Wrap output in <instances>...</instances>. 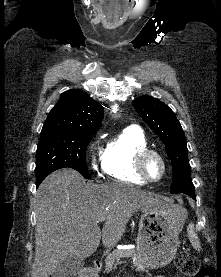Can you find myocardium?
Listing matches in <instances>:
<instances>
[{
    "instance_id": "1",
    "label": "myocardium",
    "mask_w": 221,
    "mask_h": 277,
    "mask_svg": "<svg viewBox=\"0 0 221 277\" xmlns=\"http://www.w3.org/2000/svg\"><path fill=\"white\" fill-rule=\"evenodd\" d=\"M151 157L157 158L158 161L160 162L161 168H162L160 176L156 179L150 178L147 175L146 169H145L146 162ZM135 169H136L137 174L145 182L155 183V182L160 181L164 177V175L166 173V161H165L164 157L158 151L151 149V148H147V149L140 151L137 154L136 159H135Z\"/></svg>"
}]
</instances>
